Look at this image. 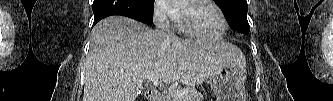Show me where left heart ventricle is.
<instances>
[{"instance_id":"left-heart-ventricle-1","label":"left heart ventricle","mask_w":333,"mask_h":101,"mask_svg":"<svg viewBox=\"0 0 333 101\" xmlns=\"http://www.w3.org/2000/svg\"><path fill=\"white\" fill-rule=\"evenodd\" d=\"M194 27L203 34L216 35L222 29V20L218 12L209 4L200 3L190 9Z\"/></svg>"}]
</instances>
